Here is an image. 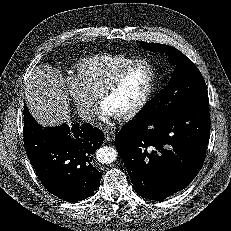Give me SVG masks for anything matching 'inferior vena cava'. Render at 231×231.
Segmentation results:
<instances>
[{
    "label": "inferior vena cava",
    "instance_id": "obj_1",
    "mask_svg": "<svg viewBox=\"0 0 231 231\" xmlns=\"http://www.w3.org/2000/svg\"><path fill=\"white\" fill-rule=\"evenodd\" d=\"M79 116L82 120L92 122L95 119L94 111L90 107H85L83 109H80Z\"/></svg>",
    "mask_w": 231,
    "mask_h": 231
}]
</instances>
